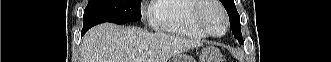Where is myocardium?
I'll return each mask as SVG.
<instances>
[{
  "mask_svg": "<svg viewBox=\"0 0 331 62\" xmlns=\"http://www.w3.org/2000/svg\"><path fill=\"white\" fill-rule=\"evenodd\" d=\"M210 7L217 8L223 17L224 30L219 34L212 32L204 21L203 14ZM192 20L195 26L199 30H201L204 34L215 38L224 36L229 28V18L227 12L224 9V7L221 5V3L216 0H198V4L195 6L193 10Z\"/></svg>",
  "mask_w": 331,
  "mask_h": 62,
  "instance_id": "1",
  "label": "myocardium"
}]
</instances>
